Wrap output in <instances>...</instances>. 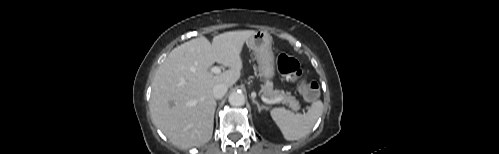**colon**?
Wrapping results in <instances>:
<instances>
[{"label":"colon","mask_w":499,"mask_h":154,"mask_svg":"<svg viewBox=\"0 0 499 154\" xmlns=\"http://www.w3.org/2000/svg\"><path fill=\"white\" fill-rule=\"evenodd\" d=\"M277 65L280 73L288 77L291 81L299 83V90L307 101H314L319 97V84L315 81H307L299 62L294 57L281 54L278 57Z\"/></svg>","instance_id":"colon-1"}]
</instances>
